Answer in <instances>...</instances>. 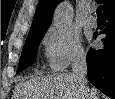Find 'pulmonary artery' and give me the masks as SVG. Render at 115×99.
I'll list each match as a JSON object with an SVG mask.
<instances>
[{
    "mask_svg": "<svg viewBox=\"0 0 115 99\" xmlns=\"http://www.w3.org/2000/svg\"><path fill=\"white\" fill-rule=\"evenodd\" d=\"M87 22L90 26H96L97 25V19L95 16L90 15L87 19Z\"/></svg>",
    "mask_w": 115,
    "mask_h": 99,
    "instance_id": "obj_1",
    "label": "pulmonary artery"
}]
</instances>
